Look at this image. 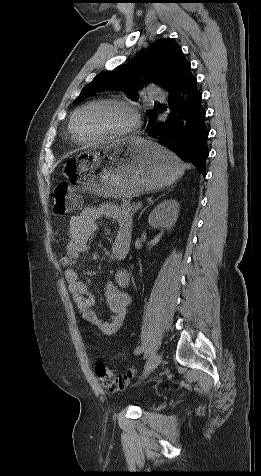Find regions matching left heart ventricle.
Listing matches in <instances>:
<instances>
[{"instance_id":"left-heart-ventricle-1","label":"left heart ventricle","mask_w":261,"mask_h":476,"mask_svg":"<svg viewBox=\"0 0 261 476\" xmlns=\"http://www.w3.org/2000/svg\"><path fill=\"white\" fill-rule=\"evenodd\" d=\"M130 119V113L120 106L98 104L78 115L75 130L81 139L91 140L126 127Z\"/></svg>"}]
</instances>
